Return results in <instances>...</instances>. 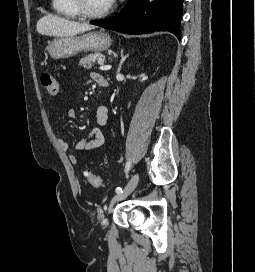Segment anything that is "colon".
Wrapping results in <instances>:
<instances>
[{
  "label": "colon",
  "instance_id": "obj_1",
  "mask_svg": "<svg viewBox=\"0 0 255 272\" xmlns=\"http://www.w3.org/2000/svg\"><path fill=\"white\" fill-rule=\"evenodd\" d=\"M41 83L50 96H57L59 94V82L51 71H46L41 75ZM86 179L90 185L99 188L103 185L100 176L93 174L91 171H86Z\"/></svg>",
  "mask_w": 255,
  "mask_h": 272
}]
</instances>
